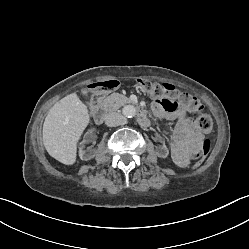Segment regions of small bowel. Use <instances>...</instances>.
I'll list each match as a JSON object with an SVG mask.
<instances>
[{"label": "small bowel", "mask_w": 249, "mask_h": 249, "mask_svg": "<svg viewBox=\"0 0 249 249\" xmlns=\"http://www.w3.org/2000/svg\"><path fill=\"white\" fill-rule=\"evenodd\" d=\"M168 105L167 107L162 101L155 100L152 111L158 118L176 120L171 136V151L176 164L186 167L189 163L190 150L202 145L203 134L177 102L171 101Z\"/></svg>", "instance_id": "1"}]
</instances>
